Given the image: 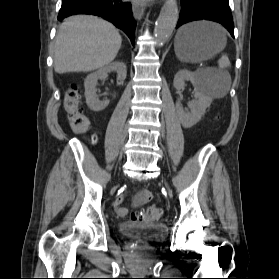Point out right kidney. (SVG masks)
Instances as JSON below:
<instances>
[{
    "label": "right kidney",
    "mask_w": 279,
    "mask_h": 279,
    "mask_svg": "<svg viewBox=\"0 0 279 279\" xmlns=\"http://www.w3.org/2000/svg\"><path fill=\"white\" fill-rule=\"evenodd\" d=\"M112 71L117 72V80H125L127 76L126 65L120 61H115L102 67L96 72L89 74L84 80L86 104L94 112H99L105 109L109 104V100L100 101L96 98V84L98 80H104L108 73Z\"/></svg>",
    "instance_id": "ca27d5eb"
}]
</instances>
